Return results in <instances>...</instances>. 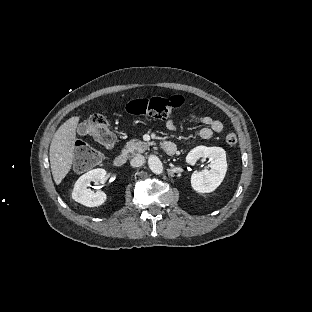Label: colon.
<instances>
[{
  "mask_svg": "<svg viewBox=\"0 0 312 312\" xmlns=\"http://www.w3.org/2000/svg\"><path fill=\"white\" fill-rule=\"evenodd\" d=\"M181 104L182 97L179 94L170 97H145L129 102L127 110L130 114L150 116L154 120H162L170 114L172 109L180 107ZM86 132L104 146L112 147L114 145L115 133L113 128L106 116L101 113H93L89 117L86 123ZM225 143L229 147L236 146V135L233 133L226 134ZM77 156L87 166L95 165L101 159L98 151L91 150H79Z\"/></svg>",
  "mask_w": 312,
  "mask_h": 312,
  "instance_id": "colon-1",
  "label": "colon"
}]
</instances>
